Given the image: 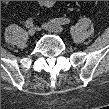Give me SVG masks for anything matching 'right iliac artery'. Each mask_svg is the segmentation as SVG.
Returning a JSON list of instances; mask_svg holds the SVG:
<instances>
[{
  "instance_id": "right-iliac-artery-1",
  "label": "right iliac artery",
  "mask_w": 109,
  "mask_h": 109,
  "mask_svg": "<svg viewBox=\"0 0 109 109\" xmlns=\"http://www.w3.org/2000/svg\"><path fill=\"white\" fill-rule=\"evenodd\" d=\"M25 24L27 28H31L33 26V18H28Z\"/></svg>"
}]
</instances>
